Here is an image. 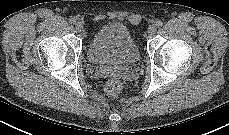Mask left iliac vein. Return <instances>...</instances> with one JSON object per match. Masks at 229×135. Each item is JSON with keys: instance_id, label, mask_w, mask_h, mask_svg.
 Returning <instances> with one entry per match:
<instances>
[{"instance_id": "obj_1", "label": "left iliac vein", "mask_w": 229, "mask_h": 135, "mask_svg": "<svg viewBox=\"0 0 229 135\" xmlns=\"http://www.w3.org/2000/svg\"><path fill=\"white\" fill-rule=\"evenodd\" d=\"M156 31H157V25L156 24L150 25L147 29V33L149 36L154 35L156 33Z\"/></svg>"}]
</instances>
